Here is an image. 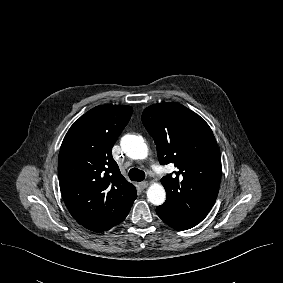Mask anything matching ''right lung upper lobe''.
<instances>
[{
  "label": "right lung upper lobe",
  "instance_id": "cb5924a9",
  "mask_svg": "<svg viewBox=\"0 0 283 283\" xmlns=\"http://www.w3.org/2000/svg\"><path fill=\"white\" fill-rule=\"evenodd\" d=\"M131 106H97L67 132L59 153V184L74 219L103 232L122 222L137 198L136 188L120 173L112 147L128 123Z\"/></svg>",
  "mask_w": 283,
  "mask_h": 283
}]
</instances>
